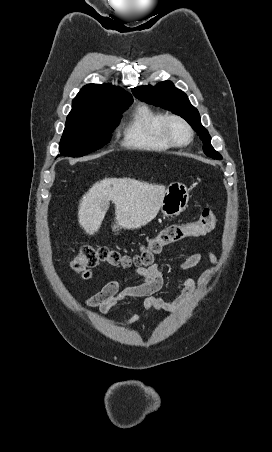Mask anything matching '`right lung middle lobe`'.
<instances>
[{"mask_svg": "<svg viewBox=\"0 0 272 452\" xmlns=\"http://www.w3.org/2000/svg\"><path fill=\"white\" fill-rule=\"evenodd\" d=\"M129 105L120 104L90 117L66 120L59 145L60 156L81 157L106 145L119 123L120 113Z\"/></svg>", "mask_w": 272, "mask_h": 452, "instance_id": "obj_1", "label": "right lung middle lobe"}]
</instances>
